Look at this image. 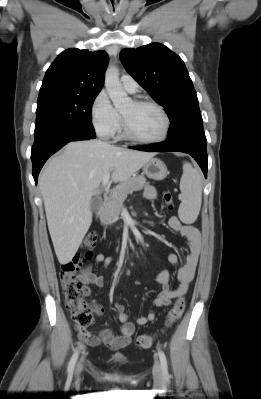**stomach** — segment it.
<instances>
[{
	"label": "stomach",
	"instance_id": "1",
	"mask_svg": "<svg viewBox=\"0 0 261 399\" xmlns=\"http://www.w3.org/2000/svg\"><path fill=\"white\" fill-rule=\"evenodd\" d=\"M143 173L151 179L163 180L169 172L163 161L152 158L143 166Z\"/></svg>",
	"mask_w": 261,
	"mask_h": 399
}]
</instances>
